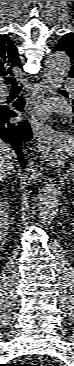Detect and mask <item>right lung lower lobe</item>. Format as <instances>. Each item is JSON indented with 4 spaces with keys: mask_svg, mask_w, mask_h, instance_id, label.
Here are the masks:
<instances>
[{
    "mask_svg": "<svg viewBox=\"0 0 74 366\" xmlns=\"http://www.w3.org/2000/svg\"><path fill=\"white\" fill-rule=\"evenodd\" d=\"M16 109L22 111L24 108V99L19 97L14 103ZM16 114L11 111L7 105L0 102V140L9 142L18 155L21 167L25 168L26 161L22 152L23 143L32 138V130L27 121L14 123L11 118Z\"/></svg>",
    "mask_w": 74,
    "mask_h": 366,
    "instance_id": "right-lung-lower-lobe-1",
    "label": "right lung lower lobe"
}]
</instances>
